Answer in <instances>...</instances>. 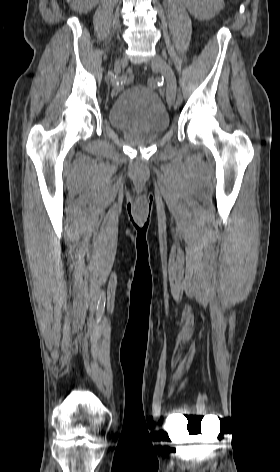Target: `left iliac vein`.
Masks as SVG:
<instances>
[{"mask_svg":"<svg viewBox=\"0 0 280 472\" xmlns=\"http://www.w3.org/2000/svg\"><path fill=\"white\" fill-rule=\"evenodd\" d=\"M152 67L159 70L165 77L167 83L166 99L169 106H172L176 98V77L170 65L159 55L152 59Z\"/></svg>","mask_w":280,"mask_h":472,"instance_id":"obj_1","label":"left iliac vein"}]
</instances>
